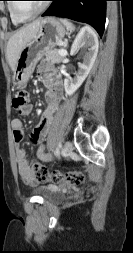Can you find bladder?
Segmentation results:
<instances>
[{
  "label": "bladder",
  "instance_id": "31cf9c89",
  "mask_svg": "<svg viewBox=\"0 0 133 253\" xmlns=\"http://www.w3.org/2000/svg\"><path fill=\"white\" fill-rule=\"evenodd\" d=\"M34 193L49 202H59L64 198V193L61 190L50 186L38 187L34 190Z\"/></svg>",
  "mask_w": 133,
  "mask_h": 253
}]
</instances>
